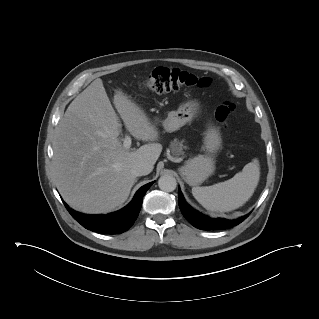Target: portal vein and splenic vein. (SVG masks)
Returning a JSON list of instances; mask_svg holds the SVG:
<instances>
[{
  "label": "portal vein and splenic vein",
  "instance_id": "obj_1",
  "mask_svg": "<svg viewBox=\"0 0 319 319\" xmlns=\"http://www.w3.org/2000/svg\"><path fill=\"white\" fill-rule=\"evenodd\" d=\"M123 146L126 148V149H129L130 146H131V138L130 136H125L124 140H123Z\"/></svg>",
  "mask_w": 319,
  "mask_h": 319
}]
</instances>
